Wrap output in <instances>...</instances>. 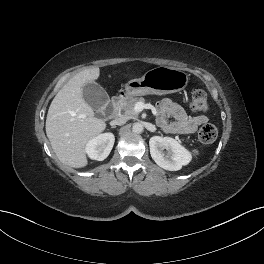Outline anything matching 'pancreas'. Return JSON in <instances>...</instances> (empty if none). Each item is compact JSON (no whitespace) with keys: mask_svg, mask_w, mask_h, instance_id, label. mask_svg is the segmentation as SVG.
<instances>
[{"mask_svg":"<svg viewBox=\"0 0 264 264\" xmlns=\"http://www.w3.org/2000/svg\"><path fill=\"white\" fill-rule=\"evenodd\" d=\"M141 102L144 104L145 100L144 98L140 97V98H133V97H129L126 98L124 100H121L119 102V109L120 111L123 113V115L127 118H132L134 116L138 115V112H136L134 110L135 104Z\"/></svg>","mask_w":264,"mask_h":264,"instance_id":"pancreas-1","label":"pancreas"}]
</instances>
